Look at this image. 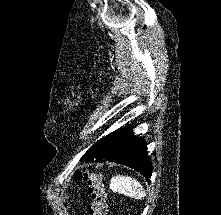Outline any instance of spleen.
Listing matches in <instances>:
<instances>
[{
	"label": "spleen",
	"instance_id": "obj_1",
	"mask_svg": "<svg viewBox=\"0 0 221 215\" xmlns=\"http://www.w3.org/2000/svg\"><path fill=\"white\" fill-rule=\"evenodd\" d=\"M110 189L135 199L146 196L143 186L130 176H115L111 179Z\"/></svg>",
	"mask_w": 221,
	"mask_h": 215
}]
</instances>
